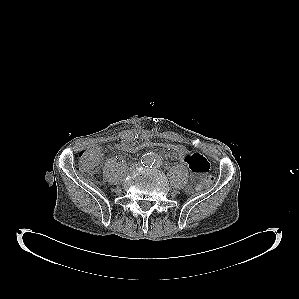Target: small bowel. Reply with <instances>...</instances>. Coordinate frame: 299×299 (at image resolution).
Wrapping results in <instances>:
<instances>
[{
  "instance_id": "obj_1",
  "label": "small bowel",
  "mask_w": 299,
  "mask_h": 299,
  "mask_svg": "<svg viewBox=\"0 0 299 299\" xmlns=\"http://www.w3.org/2000/svg\"><path fill=\"white\" fill-rule=\"evenodd\" d=\"M134 140H135L134 136H127L124 139L126 147L124 148L123 151L135 152L132 149ZM181 160L188 165L189 169L192 172L193 178H197L199 175H202L209 170V163L207 159L203 155L197 152H192L187 150V155Z\"/></svg>"
}]
</instances>
